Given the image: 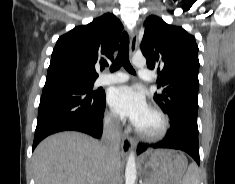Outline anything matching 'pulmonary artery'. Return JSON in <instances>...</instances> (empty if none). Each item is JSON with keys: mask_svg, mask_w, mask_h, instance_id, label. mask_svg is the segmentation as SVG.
Instances as JSON below:
<instances>
[{"mask_svg": "<svg viewBox=\"0 0 235 184\" xmlns=\"http://www.w3.org/2000/svg\"><path fill=\"white\" fill-rule=\"evenodd\" d=\"M139 74L146 79H149L150 76V69H139ZM129 75L123 72H116L111 74H103L101 75L97 81V86H107L113 84H120L125 83L129 80Z\"/></svg>", "mask_w": 235, "mask_h": 184, "instance_id": "1", "label": "pulmonary artery"}]
</instances>
